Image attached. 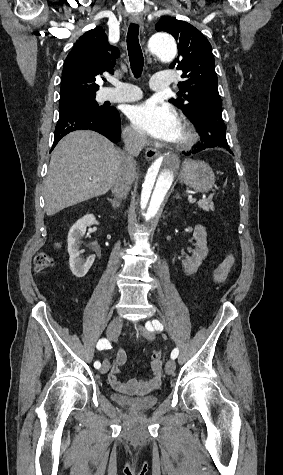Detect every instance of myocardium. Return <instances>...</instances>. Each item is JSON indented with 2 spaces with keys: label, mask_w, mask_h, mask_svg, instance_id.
Wrapping results in <instances>:
<instances>
[{
  "label": "myocardium",
  "mask_w": 283,
  "mask_h": 475,
  "mask_svg": "<svg viewBox=\"0 0 283 475\" xmlns=\"http://www.w3.org/2000/svg\"><path fill=\"white\" fill-rule=\"evenodd\" d=\"M180 125L182 134L180 139L175 142V149L177 151L183 152L187 151L194 145L197 139V131L184 114L180 115Z\"/></svg>",
  "instance_id": "f54148a6"
}]
</instances>
